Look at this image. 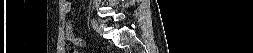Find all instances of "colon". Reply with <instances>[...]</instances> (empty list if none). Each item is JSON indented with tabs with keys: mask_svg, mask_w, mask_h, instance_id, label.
I'll list each match as a JSON object with an SVG mask.
<instances>
[{
	"mask_svg": "<svg viewBox=\"0 0 253 53\" xmlns=\"http://www.w3.org/2000/svg\"><path fill=\"white\" fill-rule=\"evenodd\" d=\"M69 52H70V53H76L77 51L74 50V49H70Z\"/></svg>",
	"mask_w": 253,
	"mask_h": 53,
	"instance_id": "colon-1",
	"label": "colon"
}]
</instances>
